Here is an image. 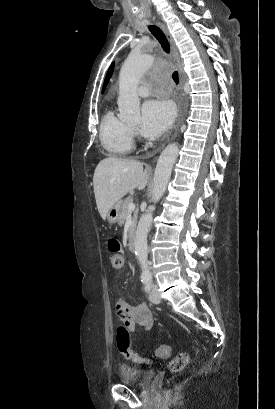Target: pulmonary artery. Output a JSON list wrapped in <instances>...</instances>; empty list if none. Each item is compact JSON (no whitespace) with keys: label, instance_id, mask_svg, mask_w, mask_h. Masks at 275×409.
I'll list each match as a JSON object with an SVG mask.
<instances>
[{"label":"pulmonary artery","instance_id":"e3ab8cb5","mask_svg":"<svg viewBox=\"0 0 275 409\" xmlns=\"http://www.w3.org/2000/svg\"><path fill=\"white\" fill-rule=\"evenodd\" d=\"M150 91H151V88L149 86H143L139 89V95L146 96V93H149Z\"/></svg>","mask_w":275,"mask_h":409}]
</instances>
